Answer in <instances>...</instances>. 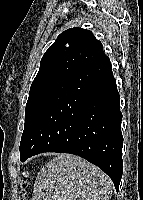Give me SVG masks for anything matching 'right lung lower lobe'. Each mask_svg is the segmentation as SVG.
Returning a JSON list of instances; mask_svg holds the SVG:
<instances>
[{"instance_id":"right-lung-lower-lobe-1","label":"right lung lower lobe","mask_w":143,"mask_h":200,"mask_svg":"<svg viewBox=\"0 0 143 200\" xmlns=\"http://www.w3.org/2000/svg\"><path fill=\"white\" fill-rule=\"evenodd\" d=\"M120 96L106 56L74 72L47 97L20 144V160L71 153L102 169L116 190L122 177Z\"/></svg>"}]
</instances>
